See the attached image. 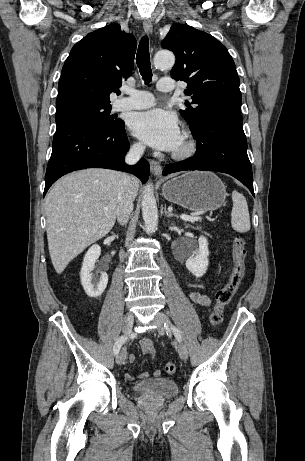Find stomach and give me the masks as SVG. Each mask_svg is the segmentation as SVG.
<instances>
[{
	"instance_id": "stomach-1",
	"label": "stomach",
	"mask_w": 305,
	"mask_h": 461,
	"mask_svg": "<svg viewBox=\"0 0 305 461\" xmlns=\"http://www.w3.org/2000/svg\"><path fill=\"white\" fill-rule=\"evenodd\" d=\"M163 196L191 211H213L223 205L226 189L212 172L190 171L164 183Z\"/></svg>"
}]
</instances>
